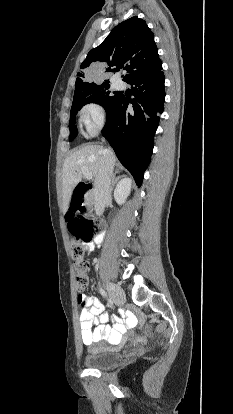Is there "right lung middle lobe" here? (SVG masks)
I'll return each instance as SVG.
<instances>
[{
  "instance_id": "obj_1",
  "label": "right lung middle lobe",
  "mask_w": 233,
  "mask_h": 414,
  "mask_svg": "<svg viewBox=\"0 0 233 414\" xmlns=\"http://www.w3.org/2000/svg\"><path fill=\"white\" fill-rule=\"evenodd\" d=\"M109 88V83L98 85L97 87L87 90L73 98L69 121V141H72L78 134V130L75 125L76 114L84 105L91 102L97 103L103 106V108L107 111L119 99L120 95L117 92L112 93Z\"/></svg>"
}]
</instances>
